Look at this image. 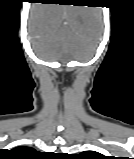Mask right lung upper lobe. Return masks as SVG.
Instances as JSON below:
<instances>
[{
  "label": "right lung upper lobe",
  "instance_id": "obj_1",
  "mask_svg": "<svg viewBox=\"0 0 134 159\" xmlns=\"http://www.w3.org/2000/svg\"><path fill=\"white\" fill-rule=\"evenodd\" d=\"M17 150L21 151V152H34V150L29 147H19V148H17Z\"/></svg>",
  "mask_w": 134,
  "mask_h": 159
}]
</instances>
